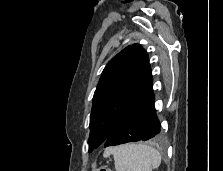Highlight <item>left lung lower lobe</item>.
I'll return each instance as SVG.
<instances>
[{
    "mask_svg": "<svg viewBox=\"0 0 223 171\" xmlns=\"http://www.w3.org/2000/svg\"><path fill=\"white\" fill-rule=\"evenodd\" d=\"M152 77L146 87L115 125L104 147L159 137L160 122L154 107Z\"/></svg>",
    "mask_w": 223,
    "mask_h": 171,
    "instance_id": "1",
    "label": "left lung lower lobe"
}]
</instances>
